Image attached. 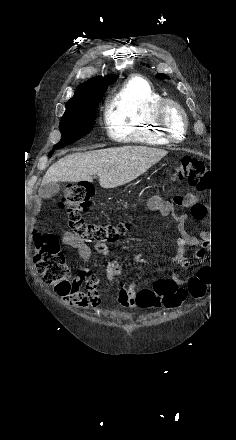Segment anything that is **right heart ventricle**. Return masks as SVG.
Masks as SVG:
<instances>
[{"mask_svg": "<svg viewBox=\"0 0 236 440\" xmlns=\"http://www.w3.org/2000/svg\"><path fill=\"white\" fill-rule=\"evenodd\" d=\"M164 99L143 77L128 79L110 99L104 113L108 136L117 142L148 146L167 145L154 120L156 106Z\"/></svg>", "mask_w": 236, "mask_h": 440, "instance_id": "obj_1", "label": "right heart ventricle"}]
</instances>
